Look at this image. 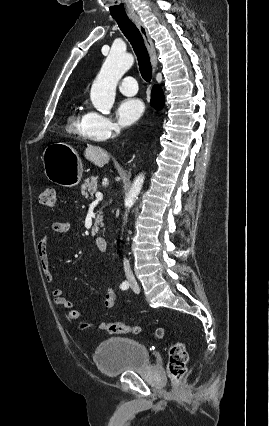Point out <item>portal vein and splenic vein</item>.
Returning a JSON list of instances; mask_svg holds the SVG:
<instances>
[{"instance_id": "1", "label": "portal vein and splenic vein", "mask_w": 269, "mask_h": 426, "mask_svg": "<svg viewBox=\"0 0 269 426\" xmlns=\"http://www.w3.org/2000/svg\"><path fill=\"white\" fill-rule=\"evenodd\" d=\"M103 199V195L101 192L96 193V200L92 202V204H96Z\"/></svg>"}]
</instances>
